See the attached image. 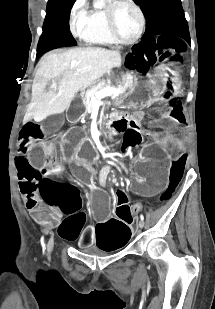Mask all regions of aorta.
I'll list each match as a JSON object with an SVG mask.
<instances>
[{"instance_id": "762f6f07", "label": "aorta", "mask_w": 215, "mask_h": 309, "mask_svg": "<svg viewBox=\"0 0 215 309\" xmlns=\"http://www.w3.org/2000/svg\"><path fill=\"white\" fill-rule=\"evenodd\" d=\"M95 2H97V4H100V6H102V4H104V0H95Z\"/></svg>"}]
</instances>
